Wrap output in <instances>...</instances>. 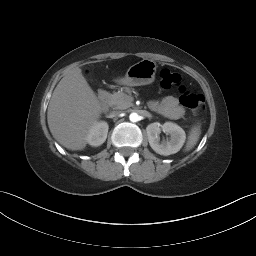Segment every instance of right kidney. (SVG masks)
<instances>
[{"instance_id":"obj_1","label":"right kidney","mask_w":256,"mask_h":256,"mask_svg":"<svg viewBox=\"0 0 256 256\" xmlns=\"http://www.w3.org/2000/svg\"><path fill=\"white\" fill-rule=\"evenodd\" d=\"M109 126L107 122L100 121L96 122L90 129L87 141L91 146L97 147L102 145L106 138L108 133Z\"/></svg>"}]
</instances>
